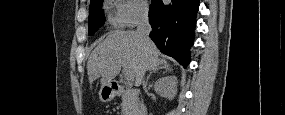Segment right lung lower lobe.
I'll return each mask as SVG.
<instances>
[{
	"label": "right lung lower lobe",
	"mask_w": 285,
	"mask_h": 115,
	"mask_svg": "<svg viewBox=\"0 0 285 115\" xmlns=\"http://www.w3.org/2000/svg\"><path fill=\"white\" fill-rule=\"evenodd\" d=\"M198 0H152L149 22L151 39L164 54L186 67L190 63V48L194 43Z\"/></svg>",
	"instance_id": "right-lung-lower-lobe-1"
}]
</instances>
